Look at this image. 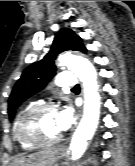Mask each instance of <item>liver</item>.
Instances as JSON below:
<instances>
[{"mask_svg":"<svg viewBox=\"0 0 135 166\" xmlns=\"http://www.w3.org/2000/svg\"><path fill=\"white\" fill-rule=\"evenodd\" d=\"M46 153H47V150H43L38 153H32L26 157L18 158L13 162V166H29L32 164L33 159L37 157L45 156Z\"/></svg>","mask_w":135,"mask_h":166,"instance_id":"1","label":"liver"}]
</instances>
